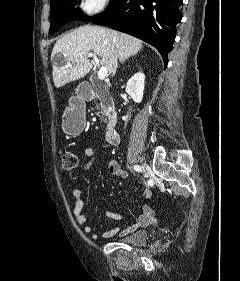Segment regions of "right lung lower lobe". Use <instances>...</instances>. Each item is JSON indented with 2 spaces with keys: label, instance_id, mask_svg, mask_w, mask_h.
<instances>
[{
  "label": "right lung lower lobe",
  "instance_id": "1",
  "mask_svg": "<svg viewBox=\"0 0 240 281\" xmlns=\"http://www.w3.org/2000/svg\"><path fill=\"white\" fill-rule=\"evenodd\" d=\"M183 0H117L104 15L92 21L135 36L156 47L165 65L173 49L176 25L182 19Z\"/></svg>",
  "mask_w": 240,
  "mask_h": 281
}]
</instances>
